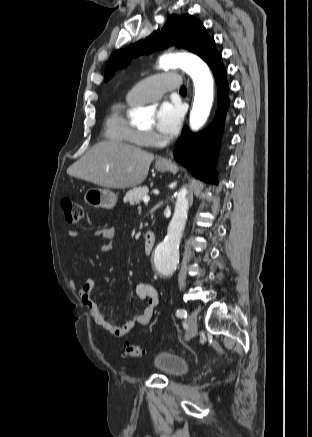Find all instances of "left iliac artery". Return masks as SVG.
<instances>
[{
  "label": "left iliac artery",
  "mask_w": 312,
  "mask_h": 437,
  "mask_svg": "<svg viewBox=\"0 0 312 437\" xmlns=\"http://www.w3.org/2000/svg\"><path fill=\"white\" fill-rule=\"evenodd\" d=\"M176 316L180 318H186L187 317V311L185 309H178L176 311Z\"/></svg>",
  "instance_id": "44dca946"
}]
</instances>
